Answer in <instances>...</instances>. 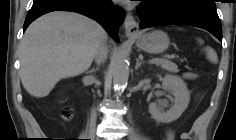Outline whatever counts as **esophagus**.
Returning a JSON list of instances; mask_svg holds the SVG:
<instances>
[{
	"label": "esophagus",
	"instance_id": "34e87169",
	"mask_svg": "<svg viewBox=\"0 0 236 140\" xmlns=\"http://www.w3.org/2000/svg\"><path fill=\"white\" fill-rule=\"evenodd\" d=\"M124 27L126 35H136L139 32V25L132 14H127Z\"/></svg>",
	"mask_w": 236,
	"mask_h": 140
}]
</instances>
